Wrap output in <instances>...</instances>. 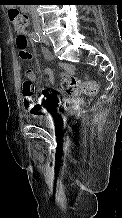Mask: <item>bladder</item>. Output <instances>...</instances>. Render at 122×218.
Here are the masks:
<instances>
[{"label":"bladder","instance_id":"obj_1","mask_svg":"<svg viewBox=\"0 0 122 218\" xmlns=\"http://www.w3.org/2000/svg\"><path fill=\"white\" fill-rule=\"evenodd\" d=\"M46 116L44 114H39V113H36V114H31L29 117H28V121L30 123H34V124H42L43 121L45 120Z\"/></svg>","mask_w":122,"mask_h":218}]
</instances>
